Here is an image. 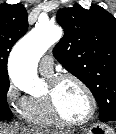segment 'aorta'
Returning <instances> with one entry per match:
<instances>
[{
    "mask_svg": "<svg viewBox=\"0 0 116 134\" xmlns=\"http://www.w3.org/2000/svg\"><path fill=\"white\" fill-rule=\"evenodd\" d=\"M62 37L61 28L38 22L13 48L9 59V76L19 89L35 94L44 86L37 75V63L42 55Z\"/></svg>",
    "mask_w": 116,
    "mask_h": 134,
    "instance_id": "1",
    "label": "aorta"
}]
</instances>
